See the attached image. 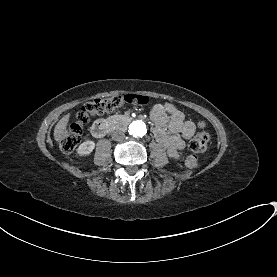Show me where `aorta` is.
Wrapping results in <instances>:
<instances>
[{"instance_id": "obj_1", "label": "aorta", "mask_w": 277, "mask_h": 277, "mask_svg": "<svg viewBox=\"0 0 277 277\" xmlns=\"http://www.w3.org/2000/svg\"><path fill=\"white\" fill-rule=\"evenodd\" d=\"M147 133L146 125L143 121H133L129 125V134L133 137H142Z\"/></svg>"}]
</instances>
